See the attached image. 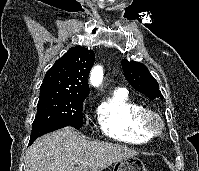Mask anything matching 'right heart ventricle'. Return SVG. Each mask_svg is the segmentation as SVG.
Returning <instances> with one entry per match:
<instances>
[{"label": "right heart ventricle", "instance_id": "1", "mask_svg": "<svg viewBox=\"0 0 199 171\" xmlns=\"http://www.w3.org/2000/svg\"><path fill=\"white\" fill-rule=\"evenodd\" d=\"M143 106L123 88L113 89L99 105L97 115L102 133L129 144H147L154 139L141 122Z\"/></svg>", "mask_w": 199, "mask_h": 171}]
</instances>
